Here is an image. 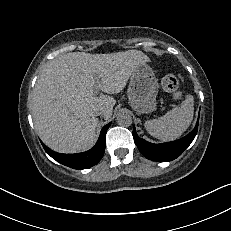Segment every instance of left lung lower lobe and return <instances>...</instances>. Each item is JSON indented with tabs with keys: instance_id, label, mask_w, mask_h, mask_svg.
<instances>
[{
	"instance_id": "left-lung-lower-lobe-1",
	"label": "left lung lower lobe",
	"mask_w": 231,
	"mask_h": 231,
	"mask_svg": "<svg viewBox=\"0 0 231 231\" xmlns=\"http://www.w3.org/2000/svg\"><path fill=\"white\" fill-rule=\"evenodd\" d=\"M198 122L192 132L185 137L162 144H152L139 138L135 127L133 129V138L140 152L148 159L158 162H166L176 159L191 144L198 130Z\"/></svg>"
}]
</instances>
